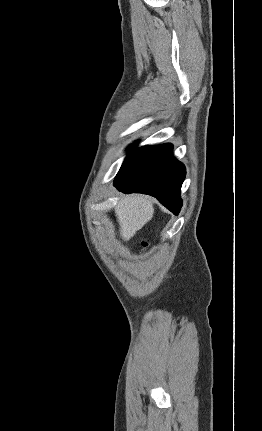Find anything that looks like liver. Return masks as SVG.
I'll use <instances>...</instances> for the list:
<instances>
[{
    "mask_svg": "<svg viewBox=\"0 0 262 431\" xmlns=\"http://www.w3.org/2000/svg\"><path fill=\"white\" fill-rule=\"evenodd\" d=\"M124 241L130 240L138 230L153 218V201L143 195H129L121 198L115 207Z\"/></svg>",
    "mask_w": 262,
    "mask_h": 431,
    "instance_id": "liver-1",
    "label": "liver"
}]
</instances>
